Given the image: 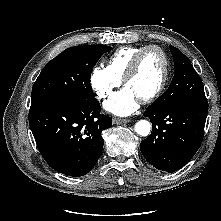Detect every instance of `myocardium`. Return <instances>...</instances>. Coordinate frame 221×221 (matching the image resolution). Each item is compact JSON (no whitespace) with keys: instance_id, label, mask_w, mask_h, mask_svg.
I'll return each instance as SVG.
<instances>
[{"instance_id":"obj_1","label":"myocardium","mask_w":221,"mask_h":221,"mask_svg":"<svg viewBox=\"0 0 221 221\" xmlns=\"http://www.w3.org/2000/svg\"><path fill=\"white\" fill-rule=\"evenodd\" d=\"M151 50H157L161 53L162 58H163V62H164L163 74H162L161 80H160L157 88L151 94L140 99V101L142 103H149V102L155 100L157 97L160 96V94L165 89V86H166L168 78H169V59H168L166 52L161 47H159L157 45H149V46L144 47L143 49H141L139 52H137L135 54L127 71L125 72V74L122 78L123 85H126L128 80H130L138 71L142 57L147 52H149Z\"/></svg>"}]
</instances>
